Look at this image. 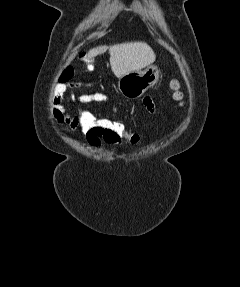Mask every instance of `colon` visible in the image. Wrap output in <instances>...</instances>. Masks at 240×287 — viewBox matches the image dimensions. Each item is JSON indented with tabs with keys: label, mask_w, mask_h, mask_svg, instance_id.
<instances>
[{
	"label": "colon",
	"mask_w": 240,
	"mask_h": 287,
	"mask_svg": "<svg viewBox=\"0 0 240 287\" xmlns=\"http://www.w3.org/2000/svg\"><path fill=\"white\" fill-rule=\"evenodd\" d=\"M90 68V66H89ZM74 70L66 68L60 75L57 87L63 98L64 104L72 123L85 135H96L104 139L125 141L130 146H137L141 136L130 131L121 120L102 117L84 108V94H79L78 89L89 85L87 80L74 81ZM173 98L180 104L184 103V93L177 80L171 82Z\"/></svg>",
	"instance_id": "colon-1"
}]
</instances>
